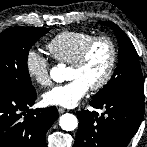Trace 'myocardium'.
<instances>
[{
    "label": "myocardium",
    "instance_id": "myocardium-1",
    "mask_svg": "<svg viewBox=\"0 0 147 147\" xmlns=\"http://www.w3.org/2000/svg\"><path fill=\"white\" fill-rule=\"evenodd\" d=\"M100 41H105L109 44L111 49V58H110L109 66L104 76L101 78L99 82H97L96 84L90 87L92 91H98L103 89L110 82L115 72L117 60H118V48L114 39L110 37L109 35L94 36L90 41H88L85 44V46L82 48V50L80 51L76 59L70 64V67H73V68L82 67L84 63L86 62L92 48L95 46L96 43Z\"/></svg>",
    "mask_w": 147,
    "mask_h": 147
}]
</instances>
